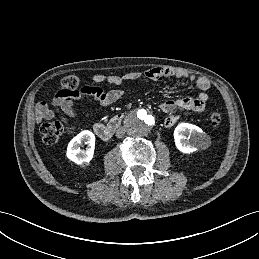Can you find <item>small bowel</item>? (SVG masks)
<instances>
[{"instance_id":"1","label":"small bowel","mask_w":259,"mask_h":259,"mask_svg":"<svg viewBox=\"0 0 259 259\" xmlns=\"http://www.w3.org/2000/svg\"><path fill=\"white\" fill-rule=\"evenodd\" d=\"M188 79L193 81L201 91L197 97H184L177 100H166L160 105V109L168 114L164 120L167 128L172 127L178 120L175 113L177 109L188 110L196 113L205 111L206 103L209 100L207 90L210 88V81L202 76L180 68L155 67L141 72H129L124 75L96 74L92 76L91 85H85L69 95L57 92L51 100V105L46 102H39L36 105V120L41 122L59 116L64 122L74 120L76 113L75 103L83 98L90 97L97 101L101 106L107 107L118 101L124 94L121 89L104 91L99 84L109 83L119 86L127 81H138L144 78L150 80H163L166 78Z\"/></svg>"}]
</instances>
